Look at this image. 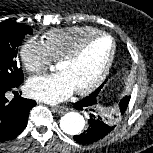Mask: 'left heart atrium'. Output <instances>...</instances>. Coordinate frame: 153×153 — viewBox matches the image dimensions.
Masks as SVG:
<instances>
[{
	"label": "left heart atrium",
	"mask_w": 153,
	"mask_h": 153,
	"mask_svg": "<svg viewBox=\"0 0 153 153\" xmlns=\"http://www.w3.org/2000/svg\"><path fill=\"white\" fill-rule=\"evenodd\" d=\"M74 90L67 75L61 71L33 77L27 84V92L32 98L50 104L66 100Z\"/></svg>",
	"instance_id": "obj_1"
}]
</instances>
